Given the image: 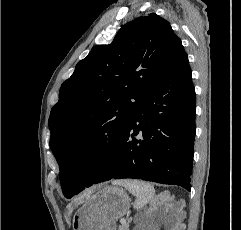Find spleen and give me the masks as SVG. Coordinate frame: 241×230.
Returning a JSON list of instances; mask_svg holds the SVG:
<instances>
[{"instance_id": "obj_1", "label": "spleen", "mask_w": 241, "mask_h": 230, "mask_svg": "<svg viewBox=\"0 0 241 230\" xmlns=\"http://www.w3.org/2000/svg\"><path fill=\"white\" fill-rule=\"evenodd\" d=\"M115 185H122L129 190L130 193L136 196L134 209H142L154 197V187L147 182L139 180H121L114 182Z\"/></svg>"}]
</instances>
